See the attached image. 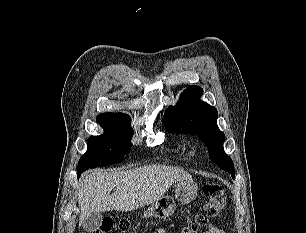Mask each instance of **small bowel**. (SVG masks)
<instances>
[{"label": "small bowel", "instance_id": "obj_1", "mask_svg": "<svg viewBox=\"0 0 306 233\" xmlns=\"http://www.w3.org/2000/svg\"><path fill=\"white\" fill-rule=\"evenodd\" d=\"M158 233H164L163 231H159ZM181 233H190L188 230V227H184ZM205 233H225L222 229L214 226V225H209L208 230L205 231Z\"/></svg>", "mask_w": 306, "mask_h": 233}]
</instances>
